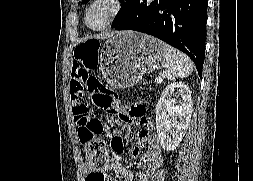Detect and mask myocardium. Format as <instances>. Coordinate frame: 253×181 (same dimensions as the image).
Masks as SVG:
<instances>
[{"instance_id": "f54148a6", "label": "myocardium", "mask_w": 253, "mask_h": 181, "mask_svg": "<svg viewBox=\"0 0 253 181\" xmlns=\"http://www.w3.org/2000/svg\"><path fill=\"white\" fill-rule=\"evenodd\" d=\"M97 4H107L109 7L108 14L104 22L97 27H93L88 23V16L91 9ZM125 4L123 0H90L83 13L84 25L92 31H101L113 24L123 13Z\"/></svg>"}]
</instances>
